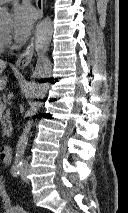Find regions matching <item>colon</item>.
<instances>
[{
    "instance_id": "5ec220e1",
    "label": "colon",
    "mask_w": 128,
    "mask_h": 213,
    "mask_svg": "<svg viewBox=\"0 0 128 213\" xmlns=\"http://www.w3.org/2000/svg\"><path fill=\"white\" fill-rule=\"evenodd\" d=\"M11 213H29L18 205L11 206Z\"/></svg>"
}]
</instances>
